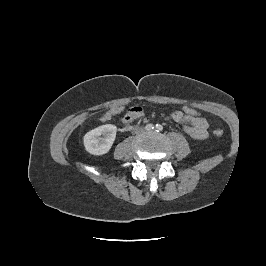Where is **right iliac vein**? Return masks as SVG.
I'll return each instance as SVG.
<instances>
[{
  "mask_svg": "<svg viewBox=\"0 0 266 266\" xmlns=\"http://www.w3.org/2000/svg\"><path fill=\"white\" fill-rule=\"evenodd\" d=\"M143 132V129L142 128H139L137 131H136V133H142Z\"/></svg>",
  "mask_w": 266,
  "mask_h": 266,
  "instance_id": "63e3f726",
  "label": "right iliac vein"
}]
</instances>
